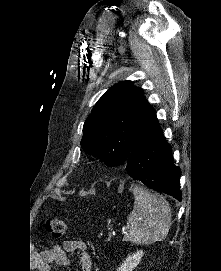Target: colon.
Masks as SVG:
<instances>
[{"label": "colon", "instance_id": "5ec220e1", "mask_svg": "<svg viewBox=\"0 0 221 271\" xmlns=\"http://www.w3.org/2000/svg\"><path fill=\"white\" fill-rule=\"evenodd\" d=\"M46 229L55 239L63 237L65 232L64 220L59 217L49 216L46 219Z\"/></svg>", "mask_w": 221, "mask_h": 271}]
</instances>
